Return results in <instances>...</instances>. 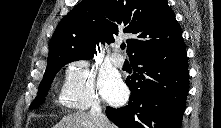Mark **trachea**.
I'll return each mask as SVG.
<instances>
[{"label":"trachea","mask_w":221,"mask_h":128,"mask_svg":"<svg viewBox=\"0 0 221 128\" xmlns=\"http://www.w3.org/2000/svg\"><path fill=\"white\" fill-rule=\"evenodd\" d=\"M121 49H125V44H122V45H121Z\"/></svg>","instance_id":"obj_1"}]
</instances>
